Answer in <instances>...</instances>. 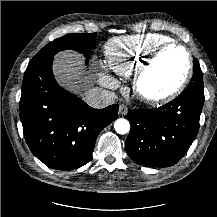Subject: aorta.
<instances>
[{
  "label": "aorta",
  "instance_id": "aorta-1",
  "mask_svg": "<svg viewBox=\"0 0 217 217\" xmlns=\"http://www.w3.org/2000/svg\"><path fill=\"white\" fill-rule=\"evenodd\" d=\"M114 129L118 134H126L130 131V123L124 118H119L114 123Z\"/></svg>",
  "mask_w": 217,
  "mask_h": 217
}]
</instances>
